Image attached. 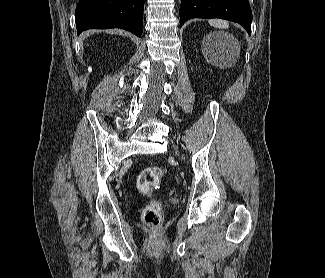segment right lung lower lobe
I'll return each mask as SVG.
<instances>
[{
	"label": "right lung lower lobe",
	"mask_w": 325,
	"mask_h": 278,
	"mask_svg": "<svg viewBox=\"0 0 325 278\" xmlns=\"http://www.w3.org/2000/svg\"><path fill=\"white\" fill-rule=\"evenodd\" d=\"M144 0H80L76 7L78 34L87 29L121 28L142 34Z\"/></svg>",
	"instance_id": "98d812e1"
}]
</instances>
